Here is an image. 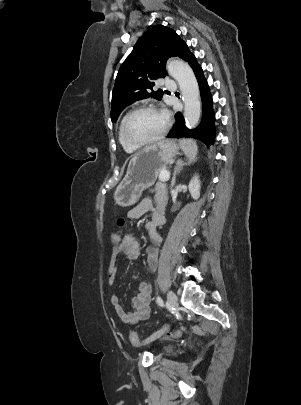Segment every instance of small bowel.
I'll return each mask as SVG.
<instances>
[{
  "mask_svg": "<svg viewBox=\"0 0 301 405\" xmlns=\"http://www.w3.org/2000/svg\"><path fill=\"white\" fill-rule=\"evenodd\" d=\"M146 213L151 214V219L146 224L150 238L154 246L147 248V262L150 271H155L158 266L159 251L157 246L162 242L161 236L157 233V227L164 223L163 206L155 207L153 202L146 198L143 199L137 206L132 208L127 216L129 219H138ZM120 246L112 248L110 263L107 270V282L110 287L115 283L116 272L118 269V260L121 255H125L130 260H135L139 256L140 243L139 240L131 234H126L121 237ZM113 243V242H112ZM151 285L146 282L139 283L137 293L131 300V308L124 309L119 301L116 293L110 295V303L114 307L118 318L127 324H134L138 321L147 319L151 314Z\"/></svg>",
  "mask_w": 301,
  "mask_h": 405,
  "instance_id": "1",
  "label": "small bowel"
}]
</instances>
